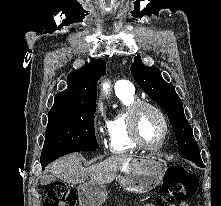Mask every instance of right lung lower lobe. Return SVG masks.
Returning <instances> with one entry per match:
<instances>
[{"label": "right lung lower lobe", "instance_id": "1", "mask_svg": "<svg viewBox=\"0 0 221 206\" xmlns=\"http://www.w3.org/2000/svg\"><path fill=\"white\" fill-rule=\"evenodd\" d=\"M47 164H49V163H41V165H42V169L44 170V168H45V166L47 165Z\"/></svg>", "mask_w": 221, "mask_h": 206}]
</instances>
